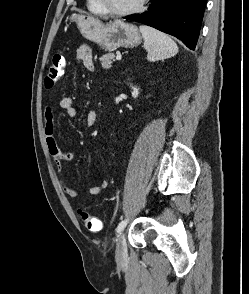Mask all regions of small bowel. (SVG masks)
I'll return each instance as SVG.
<instances>
[{
    "label": "small bowel",
    "mask_w": 249,
    "mask_h": 294,
    "mask_svg": "<svg viewBox=\"0 0 249 294\" xmlns=\"http://www.w3.org/2000/svg\"><path fill=\"white\" fill-rule=\"evenodd\" d=\"M76 57L83 62L84 66L92 71L94 70L93 62V49L88 44H82L79 46L76 52ZM60 107L66 111L67 115L71 118H76L79 116V110L74 105L72 98L68 94H63L60 99ZM96 112L94 110H89L85 114V125L87 127H92L96 123ZM44 133L45 140L49 155L51 156L54 164L58 169V182L61 190L68 197L75 199L79 196L80 192L78 189L72 187L65 180L62 168L63 164L67 161H71L75 155V151L64 152L55 136V121L54 113L51 107H47L44 115ZM109 186L108 180H102L99 183L92 185L88 188L87 194L90 196H95L103 192Z\"/></svg>",
    "instance_id": "c3829d8e"
}]
</instances>
